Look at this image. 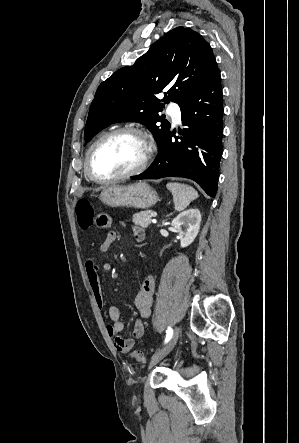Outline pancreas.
I'll return each mask as SVG.
<instances>
[{
  "mask_svg": "<svg viewBox=\"0 0 299 443\" xmlns=\"http://www.w3.org/2000/svg\"><path fill=\"white\" fill-rule=\"evenodd\" d=\"M151 210L141 211L133 215V222L143 228H147L151 224Z\"/></svg>",
  "mask_w": 299,
  "mask_h": 443,
  "instance_id": "pancreas-1",
  "label": "pancreas"
}]
</instances>
